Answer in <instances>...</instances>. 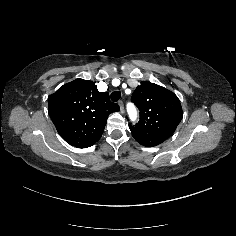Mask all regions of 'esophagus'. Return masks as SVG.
<instances>
[{"label": "esophagus", "mask_w": 236, "mask_h": 236, "mask_svg": "<svg viewBox=\"0 0 236 236\" xmlns=\"http://www.w3.org/2000/svg\"><path fill=\"white\" fill-rule=\"evenodd\" d=\"M119 106H120V112L123 113L124 112V103L123 101H119Z\"/></svg>", "instance_id": "34e87169"}]
</instances>
